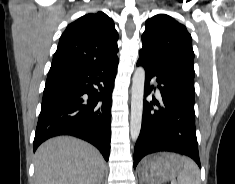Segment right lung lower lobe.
Segmentation results:
<instances>
[{
  "label": "right lung lower lobe",
  "instance_id": "right-lung-lower-lobe-1",
  "mask_svg": "<svg viewBox=\"0 0 235 184\" xmlns=\"http://www.w3.org/2000/svg\"><path fill=\"white\" fill-rule=\"evenodd\" d=\"M117 65L50 68L43 92L34 151L45 140L72 135L93 144L109 159L111 94Z\"/></svg>",
  "mask_w": 235,
  "mask_h": 184
}]
</instances>
